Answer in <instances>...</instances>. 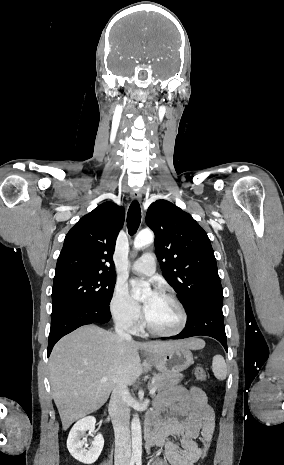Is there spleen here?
<instances>
[{"instance_id":"spleen-1","label":"spleen","mask_w":284,"mask_h":465,"mask_svg":"<svg viewBox=\"0 0 284 465\" xmlns=\"http://www.w3.org/2000/svg\"><path fill=\"white\" fill-rule=\"evenodd\" d=\"M212 371L214 373V377H216V379H219V381H224V379H226L227 367L221 355H215V357H213Z\"/></svg>"}]
</instances>
